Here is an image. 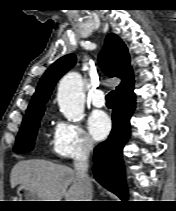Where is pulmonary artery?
<instances>
[{"label":"pulmonary artery","mask_w":176,"mask_h":211,"mask_svg":"<svg viewBox=\"0 0 176 211\" xmlns=\"http://www.w3.org/2000/svg\"><path fill=\"white\" fill-rule=\"evenodd\" d=\"M90 101L92 103L93 106L95 107H103L105 104V94L103 92V90L101 89H96L90 97Z\"/></svg>","instance_id":"obj_1"}]
</instances>
